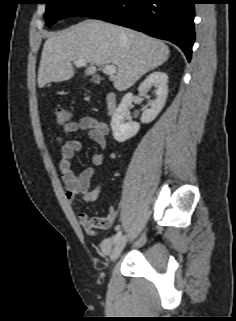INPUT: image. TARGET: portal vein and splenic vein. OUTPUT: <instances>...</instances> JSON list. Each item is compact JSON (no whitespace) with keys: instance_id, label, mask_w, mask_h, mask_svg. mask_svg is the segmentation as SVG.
<instances>
[{"instance_id":"obj_1","label":"portal vein and splenic vein","mask_w":236,"mask_h":321,"mask_svg":"<svg viewBox=\"0 0 236 321\" xmlns=\"http://www.w3.org/2000/svg\"><path fill=\"white\" fill-rule=\"evenodd\" d=\"M88 62H90L89 60H85V59H81V60H76L73 63L77 66V67H82L85 66ZM104 71L106 74L110 75V76H114L116 74V66L114 65H105L104 66Z\"/></svg>"}]
</instances>
